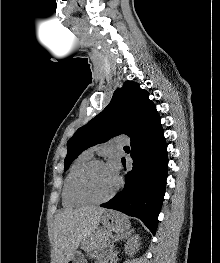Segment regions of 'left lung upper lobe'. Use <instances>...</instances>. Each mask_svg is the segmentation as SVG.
Listing matches in <instances>:
<instances>
[{"label":"left lung upper lobe","mask_w":220,"mask_h":263,"mask_svg":"<svg viewBox=\"0 0 220 263\" xmlns=\"http://www.w3.org/2000/svg\"><path fill=\"white\" fill-rule=\"evenodd\" d=\"M157 118L156 106L149 100L148 92L139 84L126 81L123 87L116 89L109 105L68 140L65 171L85 149L119 134H126L132 140Z\"/></svg>","instance_id":"obj_1"}]
</instances>
